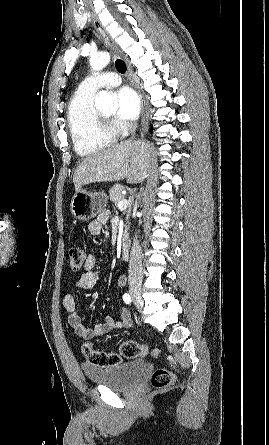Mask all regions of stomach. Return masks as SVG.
I'll return each instance as SVG.
<instances>
[{"instance_id": "stomach-1", "label": "stomach", "mask_w": 269, "mask_h": 445, "mask_svg": "<svg viewBox=\"0 0 269 445\" xmlns=\"http://www.w3.org/2000/svg\"><path fill=\"white\" fill-rule=\"evenodd\" d=\"M106 206L105 193L80 190L72 197L70 209L76 219L87 221L96 217Z\"/></svg>"}]
</instances>
